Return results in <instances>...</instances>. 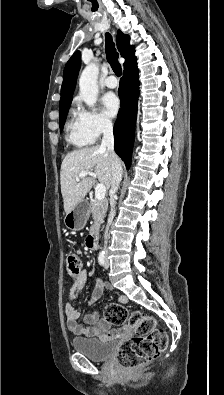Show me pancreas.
<instances>
[{"mask_svg":"<svg viewBox=\"0 0 224 395\" xmlns=\"http://www.w3.org/2000/svg\"><path fill=\"white\" fill-rule=\"evenodd\" d=\"M107 208L108 201L105 198L103 200H90L89 211L92 214L94 220V225L92 226L91 230L95 229V227L99 226L103 222Z\"/></svg>","mask_w":224,"mask_h":395,"instance_id":"cf45deb5","label":"pancreas"}]
</instances>
